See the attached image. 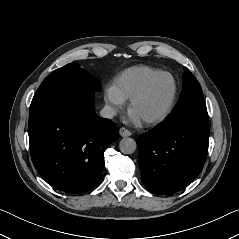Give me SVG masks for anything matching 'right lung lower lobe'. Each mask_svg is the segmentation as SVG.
<instances>
[{
  "label": "right lung lower lobe",
  "instance_id": "1",
  "mask_svg": "<svg viewBox=\"0 0 239 239\" xmlns=\"http://www.w3.org/2000/svg\"><path fill=\"white\" fill-rule=\"evenodd\" d=\"M118 128L96 115L94 93L85 87L55 92L29 111L33 164L51 186L66 193L91 190L104 168V151Z\"/></svg>",
  "mask_w": 239,
  "mask_h": 239
}]
</instances>
